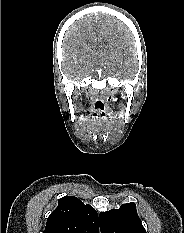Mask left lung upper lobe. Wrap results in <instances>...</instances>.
<instances>
[{
  "label": "left lung upper lobe",
  "instance_id": "1",
  "mask_svg": "<svg viewBox=\"0 0 184 233\" xmlns=\"http://www.w3.org/2000/svg\"><path fill=\"white\" fill-rule=\"evenodd\" d=\"M100 230L101 233H146L133 202L100 212Z\"/></svg>",
  "mask_w": 184,
  "mask_h": 233
}]
</instances>
